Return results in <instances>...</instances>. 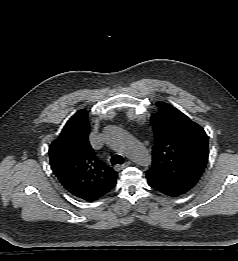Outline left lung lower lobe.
<instances>
[{
  "label": "left lung lower lobe",
  "instance_id": "left-lung-lower-lobe-1",
  "mask_svg": "<svg viewBox=\"0 0 238 261\" xmlns=\"http://www.w3.org/2000/svg\"><path fill=\"white\" fill-rule=\"evenodd\" d=\"M148 184L155 190L165 194V195H168V196H171V197H175V196H178L176 195L174 192H172L171 190H169L168 188H165L157 183H154L150 180H148Z\"/></svg>",
  "mask_w": 238,
  "mask_h": 261
}]
</instances>
